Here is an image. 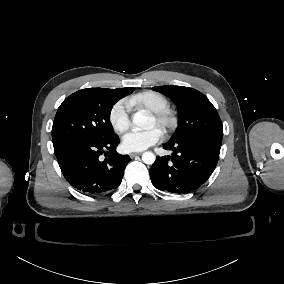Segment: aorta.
<instances>
[{"label":"aorta","instance_id":"obj_1","mask_svg":"<svg viewBox=\"0 0 284 284\" xmlns=\"http://www.w3.org/2000/svg\"><path fill=\"white\" fill-rule=\"evenodd\" d=\"M133 124L143 129H149L152 125V119L147 115L144 110H140L133 115ZM155 155L152 152H144L142 161L145 164L152 165L155 162Z\"/></svg>","mask_w":284,"mask_h":284}]
</instances>
